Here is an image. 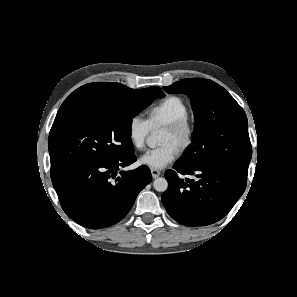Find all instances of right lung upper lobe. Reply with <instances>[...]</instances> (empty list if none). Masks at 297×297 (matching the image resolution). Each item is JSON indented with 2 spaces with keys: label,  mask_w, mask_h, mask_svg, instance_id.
Listing matches in <instances>:
<instances>
[{
  "label": "right lung upper lobe",
  "mask_w": 297,
  "mask_h": 297,
  "mask_svg": "<svg viewBox=\"0 0 297 297\" xmlns=\"http://www.w3.org/2000/svg\"><path fill=\"white\" fill-rule=\"evenodd\" d=\"M163 96L160 87L153 86ZM133 90L119 83L96 82L83 85L73 91L62 103L56 118L67 115L70 112L92 104L108 103L114 99H124ZM55 118V119H56Z\"/></svg>",
  "instance_id": "1"
}]
</instances>
